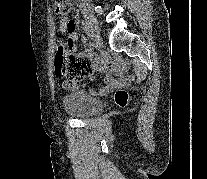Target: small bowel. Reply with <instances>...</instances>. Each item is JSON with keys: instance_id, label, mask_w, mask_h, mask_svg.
Returning a JSON list of instances; mask_svg holds the SVG:
<instances>
[{"instance_id": "1", "label": "small bowel", "mask_w": 207, "mask_h": 179, "mask_svg": "<svg viewBox=\"0 0 207 179\" xmlns=\"http://www.w3.org/2000/svg\"><path fill=\"white\" fill-rule=\"evenodd\" d=\"M60 27L62 30H67L69 32V42L70 48L75 50L76 48V25L68 17H62L60 21ZM88 62L92 68V75L94 72H106L107 75L104 79V82L101 86L94 88L93 92L99 95L107 93L109 90L116 87L122 86L125 84L126 79L123 76V71L121 67L112 61L106 55H101L95 58L89 57ZM114 73L118 78H115L111 75ZM67 87H72V85H66Z\"/></svg>"}]
</instances>
